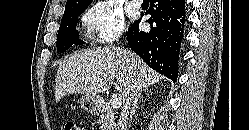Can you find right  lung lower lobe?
<instances>
[{"mask_svg":"<svg viewBox=\"0 0 249 130\" xmlns=\"http://www.w3.org/2000/svg\"><path fill=\"white\" fill-rule=\"evenodd\" d=\"M184 0H152L146 14L151 25L149 32L139 30L141 19L127 32L131 49L152 69L176 81L178 57L185 23Z\"/></svg>","mask_w":249,"mask_h":130,"instance_id":"obj_1","label":"right lung lower lobe"}]
</instances>
